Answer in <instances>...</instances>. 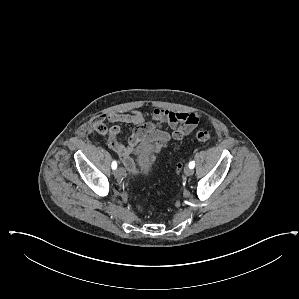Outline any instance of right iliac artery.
<instances>
[{
  "mask_svg": "<svg viewBox=\"0 0 299 299\" xmlns=\"http://www.w3.org/2000/svg\"><path fill=\"white\" fill-rule=\"evenodd\" d=\"M112 169L115 170L117 168V163L116 161H113L112 162V165H111Z\"/></svg>",
  "mask_w": 299,
  "mask_h": 299,
  "instance_id": "right-iliac-artery-1",
  "label": "right iliac artery"
}]
</instances>
